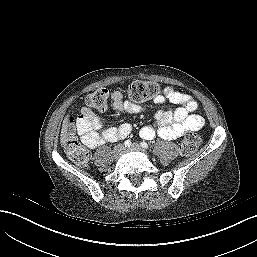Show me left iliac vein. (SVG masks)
I'll return each mask as SVG.
<instances>
[{
  "instance_id": "left-iliac-vein-1",
  "label": "left iliac vein",
  "mask_w": 257,
  "mask_h": 257,
  "mask_svg": "<svg viewBox=\"0 0 257 257\" xmlns=\"http://www.w3.org/2000/svg\"><path fill=\"white\" fill-rule=\"evenodd\" d=\"M126 151H130V150H137V151H141L144 153V150L137 144H134L131 147L125 148Z\"/></svg>"
}]
</instances>
